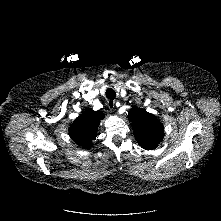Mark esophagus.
Listing matches in <instances>:
<instances>
[{
  "instance_id": "1",
  "label": "esophagus",
  "mask_w": 221,
  "mask_h": 221,
  "mask_svg": "<svg viewBox=\"0 0 221 221\" xmlns=\"http://www.w3.org/2000/svg\"><path fill=\"white\" fill-rule=\"evenodd\" d=\"M107 106L109 109H114L115 108V101L114 100H108L107 101Z\"/></svg>"
}]
</instances>
